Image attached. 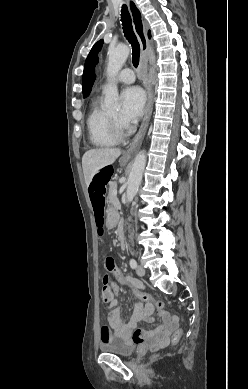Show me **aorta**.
Returning a JSON list of instances; mask_svg holds the SVG:
<instances>
[{
  "mask_svg": "<svg viewBox=\"0 0 248 389\" xmlns=\"http://www.w3.org/2000/svg\"><path fill=\"white\" fill-rule=\"evenodd\" d=\"M130 53V49L127 45H119L108 50V64H107V77L111 80V83L104 91V107L107 110L120 109V100L118 94V88L114 83L115 77L123 67ZM146 165V153L144 150L140 151L133 162L131 172L127 181L126 198L130 203L139 188L142 180L143 171Z\"/></svg>",
  "mask_w": 248,
  "mask_h": 389,
  "instance_id": "1",
  "label": "aorta"
}]
</instances>
